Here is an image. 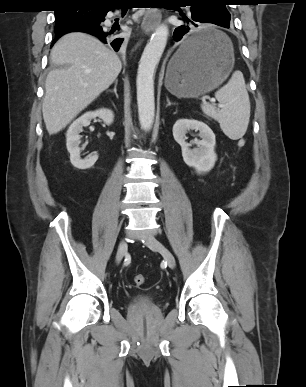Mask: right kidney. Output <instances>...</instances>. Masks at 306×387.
<instances>
[{
	"label": "right kidney",
	"instance_id": "ca27d5eb",
	"mask_svg": "<svg viewBox=\"0 0 306 387\" xmlns=\"http://www.w3.org/2000/svg\"><path fill=\"white\" fill-rule=\"evenodd\" d=\"M99 117L104 123L110 125L114 121V114L109 109H99L92 112H86L76 119L69 127L66 134V147L70 153L71 164L81 170L92 167L98 159V155H90L85 159L80 157L79 144L83 127L89 126L92 119Z\"/></svg>",
	"mask_w": 306,
	"mask_h": 387
}]
</instances>
